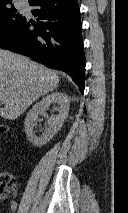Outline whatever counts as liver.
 I'll list each match as a JSON object with an SVG mask.
<instances>
[{
  "label": "liver",
  "instance_id": "6515ba94",
  "mask_svg": "<svg viewBox=\"0 0 128 213\" xmlns=\"http://www.w3.org/2000/svg\"><path fill=\"white\" fill-rule=\"evenodd\" d=\"M59 76L27 57L0 49V116L18 118L35 100L57 88Z\"/></svg>",
  "mask_w": 128,
  "mask_h": 213
}]
</instances>
